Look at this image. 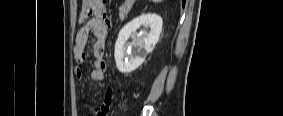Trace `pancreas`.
<instances>
[{
    "mask_svg": "<svg viewBox=\"0 0 283 116\" xmlns=\"http://www.w3.org/2000/svg\"><path fill=\"white\" fill-rule=\"evenodd\" d=\"M129 10H130V8H129V6H128L127 4L122 5V6L119 8V17H120L121 19H124L125 16L128 14Z\"/></svg>",
    "mask_w": 283,
    "mask_h": 116,
    "instance_id": "1",
    "label": "pancreas"
}]
</instances>
